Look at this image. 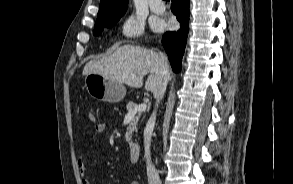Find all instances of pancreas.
Wrapping results in <instances>:
<instances>
[{
    "label": "pancreas",
    "mask_w": 293,
    "mask_h": 184,
    "mask_svg": "<svg viewBox=\"0 0 293 184\" xmlns=\"http://www.w3.org/2000/svg\"><path fill=\"white\" fill-rule=\"evenodd\" d=\"M136 107H137V104L132 101L128 102V104L126 106V108L129 112L133 111ZM140 115H141V112H136V115L133 117V119L131 120V123L127 127V132H126L125 137H126V141L128 143L132 142V133L137 130L136 125L139 121Z\"/></svg>",
    "instance_id": "obj_1"
}]
</instances>
